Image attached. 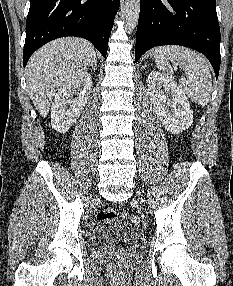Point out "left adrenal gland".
<instances>
[{
  "mask_svg": "<svg viewBox=\"0 0 233 286\" xmlns=\"http://www.w3.org/2000/svg\"><path fill=\"white\" fill-rule=\"evenodd\" d=\"M148 66V64L147 63H145V65L143 66V69H145V67H147Z\"/></svg>",
  "mask_w": 233,
  "mask_h": 286,
  "instance_id": "left-adrenal-gland-1",
  "label": "left adrenal gland"
}]
</instances>
